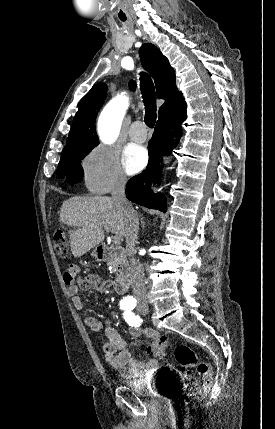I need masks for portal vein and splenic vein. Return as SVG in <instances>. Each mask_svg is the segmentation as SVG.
<instances>
[{
  "label": "portal vein and splenic vein",
  "mask_w": 275,
  "mask_h": 429,
  "mask_svg": "<svg viewBox=\"0 0 275 429\" xmlns=\"http://www.w3.org/2000/svg\"><path fill=\"white\" fill-rule=\"evenodd\" d=\"M104 229H105L106 231H110V228H109L108 226L104 227ZM113 243H114L115 245H119V244L121 243V238H120V236L115 235V236H114V238H113Z\"/></svg>",
  "instance_id": "18ae733b"
}]
</instances>
